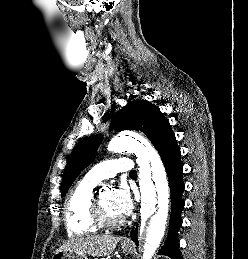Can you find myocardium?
I'll return each mask as SVG.
<instances>
[{
  "label": "myocardium",
  "instance_id": "myocardium-1",
  "mask_svg": "<svg viewBox=\"0 0 248 259\" xmlns=\"http://www.w3.org/2000/svg\"><path fill=\"white\" fill-rule=\"evenodd\" d=\"M91 216L94 223L99 228H115L123 224L124 219L120 218L118 220H110L107 218L102 204L99 199V194H94L91 205Z\"/></svg>",
  "mask_w": 248,
  "mask_h": 259
}]
</instances>
